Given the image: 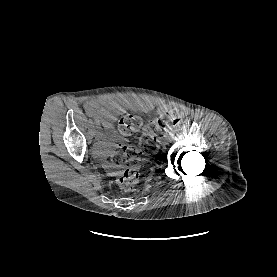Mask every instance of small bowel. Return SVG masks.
Segmentation results:
<instances>
[{
    "label": "small bowel",
    "mask_w": 277,
    "mask_h": 277,
    "mask_svg": "<svg viewBox=\"0 0 277 277\" xmlns=\"http://www.w3.org/2000/svg\"><path fill=\"white\" fill-rule=\"evenodd\" d=\"M84 107L86 113L94 120L96 126L104 130L103 132L99 133L101 140L97 146V151L100 153H107V150L104 148V140L110 137V131L113 127V122L117 114L122 110L123 103L99 98L88 100ZM139 107L144 111L156 109L158 113L172 111L171 107L168 105L154 106L148 102L140 103ZM117 139L122 140V137L118 136ZM105 167L107 170L111 171L113 164L106 161Z\"/></svg>",
    "instance_id": "small-bowel-1"
}]
</instances>
